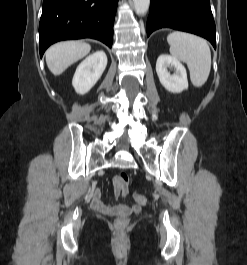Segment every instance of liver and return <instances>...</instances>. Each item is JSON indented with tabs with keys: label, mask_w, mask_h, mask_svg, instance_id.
Instances as JSON below:
<instances>
[{
	"label": "liver",
	"mask_w": 247,
	"mask_h": 265,
	"mask_svg": "<svg viewBox=\"0 0 247 265\" xmlns=\"http://www.w3.org/2000/svg\"><path fill=\"white\" fill-rule=\"evenodd\" d=\"M90 50L91 46L85 42L65 41L56 43L46 51V63L54 75H60L73 63L85 57Z\"/></svg>",
	"instance_id": "6515ba94"
}]
</instances>
